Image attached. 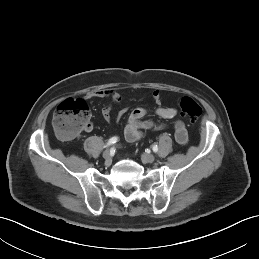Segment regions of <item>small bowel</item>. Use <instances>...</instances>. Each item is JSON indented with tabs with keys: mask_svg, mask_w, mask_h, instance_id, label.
Wrapping results in <instances>:
<instances>
[{
	"mask_svg": "<svg viewBox=\"0 0 259 259\" xmlns=\"http://www.w3.org/2000/svg\"><path fill=\"white\" fill-rule=\"evenodd\" d=\"M85 99L90 100L93 98L110 97L116 104L122 101V94L115 89H102L88 92ZM152 97L156 104L160 105L162 101L161 94L158 90L152 92ZM148 114L145 108L138 107L131 111L125 129L124 138L128 142H135L142 137L143 130H160L165 127L164 124L157 125L151 120H143ZM155 114L165 120L173 119L177 115L176 109L172 107L158 106L155 110ZM102 116L107 121H111L110 107L106 106L102 109ZM92 130V124L90 123L85 131L89 132ZM175 140L179 145H186L188 143V133L185 125L181 121L175 123Z\"/></svg>",
	"mask_w": 259,
	"mask_h": 259,
	"instance_id": "1",
	"label": "small bowel"
}]
</instances>
